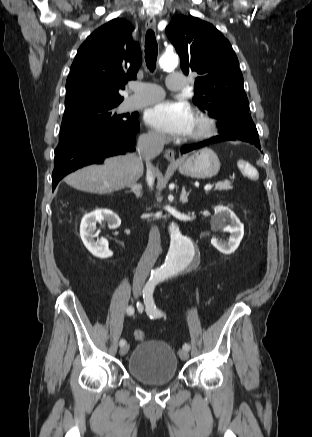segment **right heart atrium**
<instances>
[{"label":"right heart atrium","instance_id":"1","mask_svg":"<svg viewBox=\"0 0 312 437\" xmlns=\"http://www.w3.org/2000/svg\"><path fill=\"white\" fill-rule=\"evenodd\" d=\"M148 137L153 141H160L162 139L161 135L155 131H150Z\"/></svg>","mask_w":312,"mask_h":437}]
</instances>
